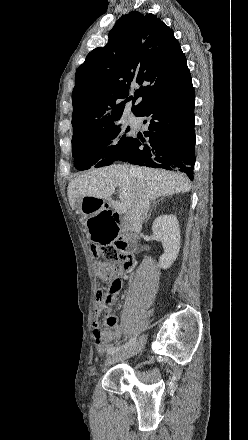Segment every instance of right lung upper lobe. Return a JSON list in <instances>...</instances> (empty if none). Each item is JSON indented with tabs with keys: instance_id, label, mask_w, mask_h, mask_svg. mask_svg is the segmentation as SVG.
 Listing matches in <instances>:
<instances>
[{
	"instance_id": "obj_1",
	"label": "right lung upper lobe",
	"mask_w": 248,
	"mask_h": 440,
	"mask_svg": "<svg viewBox=\"0 0 248 440\" xmlns=\"http://www.w3.org/2000/svg\"><path fill=\"white\" fill-rule=\"evenodd\" d=\"M190 79L185 55L163 21L153 14L123 15L109 32L107 45L91 51L76 71L73 135L119 123L135 83L141 87L135 91L134 114L146 101Z\"/></svg>"
}]
</instances>
